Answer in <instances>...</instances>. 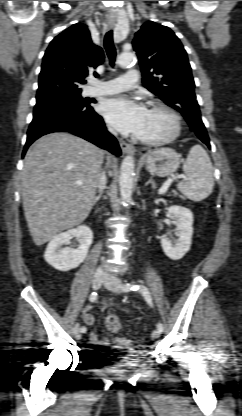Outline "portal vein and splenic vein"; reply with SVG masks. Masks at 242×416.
Wrapping results in <instances>:
<instances>
[{
  "mask_svg": "<svg viewBox=\"0 0 242 416\" xmlns=\"http://www.w3.org/2000/svg\"><path fill=\"white\" fill-rule=\"evenodd\" d=\"M175 178H181L180 176H177V177H175ZM174 179L173 178H169L166 182H165V184L159 189V194L160 195H162V194H164V193H166L167 192V190H168V188H169V186H170V184L172 183V181H173ZM79 185L81 184V183H78Z\"/></svg>",
  "mask_w": 242,
  "mask_h": 416,
  "instance_id": "18ae733b",
  "label": "portal vein and splenic vein"
}]
</instances>
